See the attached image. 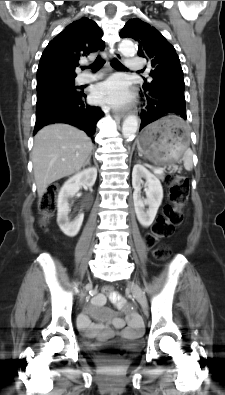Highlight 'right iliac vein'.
<instances>
[{
    "label": "right iliac vein",
    "instance_id": "right-iliac-vein-1",
    "mask_svg": "<svg viewBox=\"0 0 225 395\" xmlns=\"http://www.w3.org/2000/svg\"><path fill=\"white\" fill-rule=\"evenodd\" d=\"M83 297H84V294H82L81 300L83 299Z\"/></svg>",
    "mask_w": 225,
    "mask_h": 395
}]
</instances>
